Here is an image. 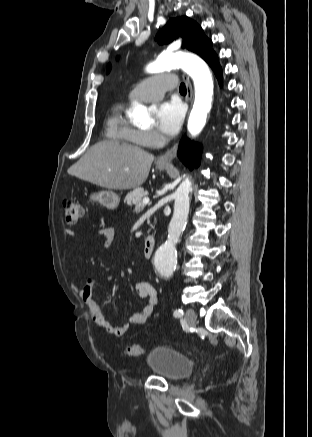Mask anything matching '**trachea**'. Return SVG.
<instances>
[{
  "instance_id": "trachea-1",
  "label": "trachea",
  "mask_w": 312,
  "mask_h": 437,
  "mask_svg": "<svg viewBox=\"0 0 312 437\" xmlns=\"http://www.w3.org/2000/svg\"><path fill=\"white\" fill-rule=\"evenodd\" d=\"M180 93H186L187 92V90H186V87H185V84L184 83H182L181 85H180Z\"/></svg>"
}]
</instances>
